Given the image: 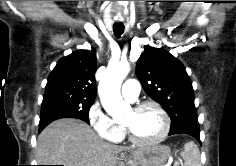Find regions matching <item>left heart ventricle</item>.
I'll list each match as a JSON object with an SVG mask.
<instances>
[{
	"label": "left heart ventricle",
	"instance_id": "left-heart-ventricle-1",
	"mask_svg": "<svg viewBox=\"0 0 236 166\" xmlns=\"http://www.w3.org/2000/svg\"><path fill=\"white\" fill-rule=\"evenodd\" d=\"M123 124L127 125L140 140L155 139L163 130L162 116L153 107H147L138 113L129 111Z\"/></svg>",
	"mask_w": 236,
	"mask_h": 166
}]
</instances>
